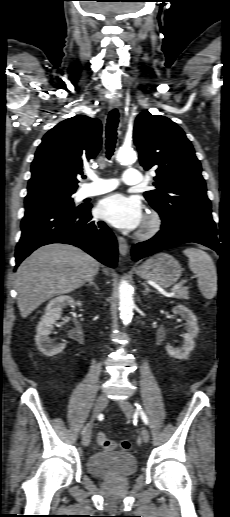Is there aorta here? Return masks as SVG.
<instances>
[{
  "label": "aorta",
  "instance_id": "aorta-1",
  "mask_svg": "<svg viewBox=\"0 0 230 517\" xmlns=\"http://www.w3.org/2000/svg\"><path fill=\"white\" fill-rule=\"evenodd\" d=\"M116 160L120 163H133L136 153L131 148H120L116 154ZM134 299L133 290L129 283L122 280L119 285V310L120 318L124 325H128L133 317Z\"/></svg>",
  "mask_w": 230,
  "mask_h": 517
}]
</instances>
